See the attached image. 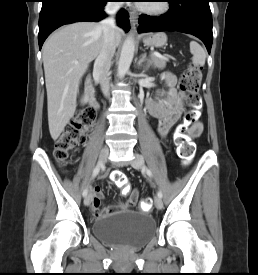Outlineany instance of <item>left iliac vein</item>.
Listing matches in <instances>:
<instances>
[{"instance_id": "left-iliac-vein-1", "label": "left iliac vein", "mask_w": 258, "mask_h": 275, "mask_svg": "<svg viewBox=\"0 0 258 275\" xmlns=\"http://www.w3.org/2000/svg\"><path fill=\"white\" fill-rule=\"evenodd\" d=\"M130 164L135 169H142V167L144 166V159L141 155L135 154V158L130 162ZM155 206L159 210L163 208V202L161 198L156 197Z\"/></svg>"}]
</instances>
